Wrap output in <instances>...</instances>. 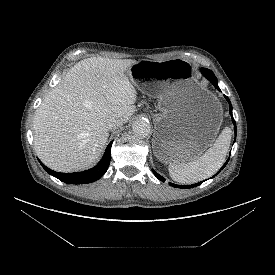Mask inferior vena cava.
I'll return each instance as SVG.
<instances>
[{
    "label": "inferior vena cava",
    "mask_w": 275,
    "mask_h": 275,
    "mask_svg": "<svg viewBox=\"0 0 275 275\" xmlns=\"http://www.w3.org/2000/svg\"><path fill=\"white\" fill-rule=\"evenodd\" d=\"M124 123V120L119 116H112L106 121V127L108 130H113L118 127H121Z\"/></svg>",
    "instance_id": "inferior-vena-cava-1"
}]
</instances>
